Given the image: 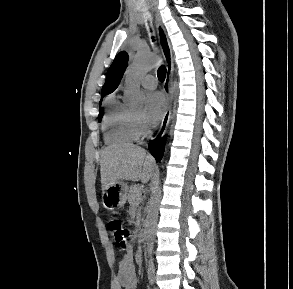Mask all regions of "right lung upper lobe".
I'll list each match as a JSON object with an SVG mask.
<instances>
[{
    "instance_id": "obj_1",
    "label": "right lung upper lobe",
    "mask_w": 293,
    "mask_h": 289,
    "mask_svg": "<svg viewBox=\"0 0 293 289\" xmlns=\"http://www.w3.org/2000/svg\"><path fill=\"white\" fill-rule=\"evenodd\" d=\"M128 55L126 52H120L110 66L105 84L102 87V97L112 93L120 83L123 73L127 67Z\"/></svg>"
}]
</instances>
